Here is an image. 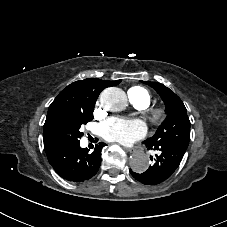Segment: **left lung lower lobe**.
Returning a JSON list of instances; mask_svg holds the SVG:
<instances>
[{"label": "left lung lower lobe", "instance_id": "left-lung-lower-lobe-1", "mask_svg": "<svg viewBox=\"0 0 227 227\" xmlns=\"http://www.w3.org/2000/svg\"><path fill=\"white\" fill-rule=\"evenodd\" d=\"M148 150H157L155 163L144 173L138 174L130 169L133 177L147 185H157L168 179L179 166L186 149L170 143L144 142ZM152 159V158H151Z\"/></svg>", "mask_w": 227, "mask_h": 227}]
</instances>
